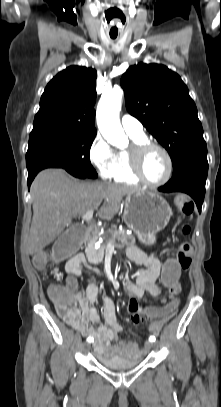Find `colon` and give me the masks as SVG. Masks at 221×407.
Returning <instances> with one entry per match:
<instances>
[{
    "mask_svg": "<svg viewBox=\"0 0 221 407\" xmlns=\"http://www.w3.org/2000/svg\"><path fill=\"white\" fill-rule=\"evenodd\" d=\"M175 204L180 213L186 217H190L193 213L194 206L187 196L179 195L176 197ZM191 227L189 224H183L181 232L184 235L190 233ZM88 223L87 222H72L69 230H65L64 234L58 235V246H54V255L58 261H66L68 255H78L79 249L84 244V239H88ZM192 245L190 243L183 244L178 251L177 258H164L162 263V272L160 279V291L170 292L171 286H179L180 277L183 271L187 270L192 261ZM35 269L42 270L47 264V258L44 255L36 254ZM49 296L54 302L55 308L59 315L68 314L76 304V291L73 287L66 285H52L49 288ZM182 298L176 295L169 300L166 305H151L143 307V316H139L144 322H151L152 319L169 318L171 313L178 311Z\"/></svg>",
    "mask_w": 221,
    "mask_h": 407,
    "instance_id": "colon-1",
    "label": "colon"
}]
</instances>
